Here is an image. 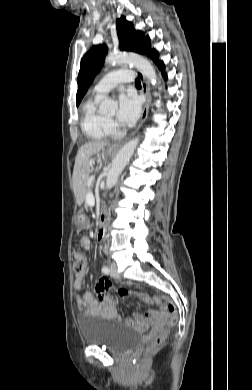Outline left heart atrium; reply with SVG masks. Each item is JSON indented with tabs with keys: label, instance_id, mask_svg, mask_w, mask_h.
Returning a JSON list of instances; mask_svg holds the SVG:
<instances>
[{
	"label": "left heart atrium",
	"instance_id": "39dd6f15",
	"mask_svg": "<svg viewBox=\"0 0 252 390\" xmlns=\"http://www.w3.org/2000/svg\"><path fill=\"white\" fill-rule=\"evenodd\" d=\"M140 114V101L133 94H120L118 98V120L125 125L133 124Z\"/></svg>",
	"mask_w": 252,
	"mask_h": 390
}]
</instances>
